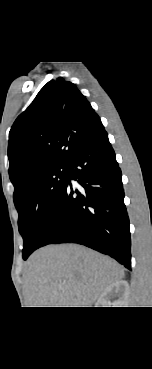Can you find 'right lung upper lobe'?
<instances>
[{
	"instance_id": "cb5924a9",
	"label": "right lung upper lobe",
	"mask_w": 152,
	"mask_h": 369,
	"mask_svg": "<svg viewBox=\"0 0 152 369\" xmlns=\"http://www.w3.org/2000/svg\"><path fill=\"white\" fill-rule=\"evenodd\" d=\"M102 130L99 116L73 83L62 77L49 81L9 133V177L14 195L34 175L68 164L78 149Z\"/></svg>"
}]
</instances>
